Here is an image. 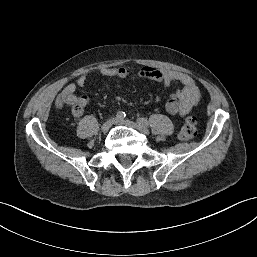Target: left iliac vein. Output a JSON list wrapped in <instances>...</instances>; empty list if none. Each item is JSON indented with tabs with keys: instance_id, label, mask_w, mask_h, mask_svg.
<instances>
[{
	"instance_id": "1",
	"label": "left iliac vein",
	"mask_w": 257,
	"mask_h": 257,
	"mask_svg": "<svg viewBox=\"0 0 257 257\" xmlns=\"http://www.w3.org/2000/svg\"><path fill=\"white\" fill-rule=\"evenodd\" d=\"M115 124L131 127L142 132L145 135L149 134V130L146 127H143L139 123H135L130 120L116 119Z\"/></svg>"
}]
</instances>
